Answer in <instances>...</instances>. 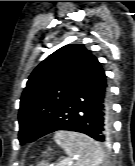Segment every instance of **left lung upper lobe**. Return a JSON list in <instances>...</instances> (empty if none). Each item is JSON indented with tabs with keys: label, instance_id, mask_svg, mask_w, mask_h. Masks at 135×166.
<instances>
[{
	"label": "left lung upper lobe",
	"instance_id": "5c2ea615",
	"mask_svg": "<svg viewBox=\"0 0 135 166\" xmlns=\"http://www.w3.org/2000/svg\"><path fill=\"white\" fill-rule=\"evenodd\" d=\"M94 56L84 45H66L49 55L29 76L23 91L18 120L52 122L67 104L84 67Z\"/></svg>",
	"mask_w": 135,
	"mask_h": 166
}]
</instances>
